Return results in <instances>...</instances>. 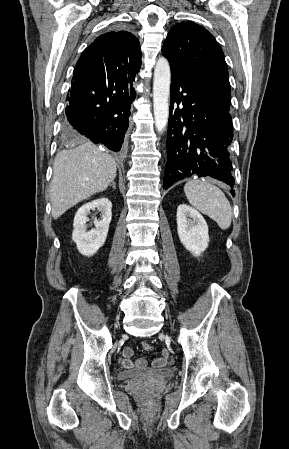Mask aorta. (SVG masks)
<instances>
[{"instance_id":"obj_1","label":"aorta","mask_w":289,"mask_h":449,"mask_svg":"<svg viewBox=\"0 0 289 449\" xmlns=\"http://www.w3.org/2000/svg\"><path fill=\"white\" fill-rule=\"evenodd\" d=\"M171 73L166 58L158 59L154 70L153 111L155 127L162 133L168 123Z\"/></svg>"}]
</instances>
